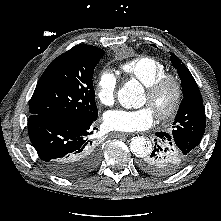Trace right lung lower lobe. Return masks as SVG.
Segmentation results:
<instances>
[{
  "mask_svg": "<svg viewBox=\"0 0 221 221\" xmlns=\"http://www.w3.org/2000/svg\"><path fill=\"white\" fill-rule=\"evenodd\" d=\"M98 114L89 119L31 115L28 133L43 164L64 178H78L97 165L100 152L90 141Z\"/></svg>",
  "mask_w": 221,
  "mask_h": 221,
  "instance_id": "right-lung-lower-lobe-1",
  "label": "right lung lower lobe"
}]
</instances>
